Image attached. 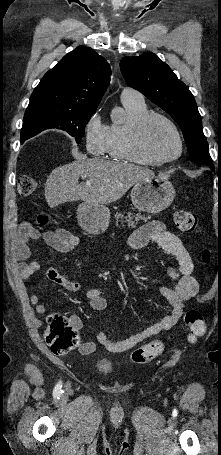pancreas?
<instances>
[{
	"instance_id": "cf45deb5",
	"label": "pancreas",
	"mask_w": 221,
	"mask_h": 455,
	"mask_svg": "<svg viewBox=\"0 0 221 455\" xmlns=\"http://www.w3.org/2000/svg\"><path fill=\"white\" fill-rule=\"evenodd\" d=\"M114 218L116 220V224H118V222L120 221L123 227L127 225L128 227L132 228H134L138 224L139 220L147 221V217L145 215H141L140 213L133 215L131 213L126 214L125 212L124 213L116 212Z\"/></svg>"
}]
</instances>
